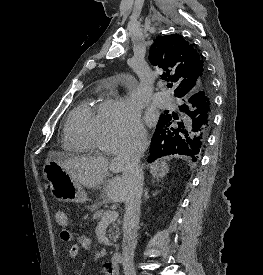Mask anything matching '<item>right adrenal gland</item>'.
Masks as SVG:
<instances>
[{"label": "right adrenal gland", "instance_id": "right-adrenal-gland-1", "mask_svg": "<svg viewBox=\"0 0 263 275\" xmlns=\"http://www.w3.org/2000/svg\"><path fill=\"white\" fill-rule=\"evenodd\" d=\"M155 183V181H153V184ZM159 193V191H156L153 193V196L157 195ZM149 199V195H148V190L145 189V193H144V200H148Z\"/></svg>", "mask_w": 263, "mask_h": 275}]
</instances>
